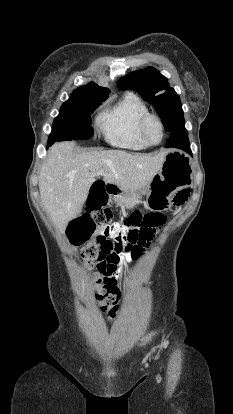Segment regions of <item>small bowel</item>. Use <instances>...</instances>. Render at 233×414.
<instances>
[{
	"instance_id": "1",
	"label": "small bowel",
	"mask_w": 233,
	"mask_h": 414,
	"mask_svg": "<svg viewBox=\"0 0 233 414\" xmlns=\"http://www.w3.org/2000/svg\"><path fill=\"white\" fill-rule=\"evenodd\" d=\"M149 232L152 237L154 229H150ZM113 235H116V232H113ZM99 255L96 264V274L101 275V278H103L104 289L110 295H114L119 291L118 272H122L123 268H130V260L133 258L129 252H121L120 250H103ZM99 309L101 310L102 308L100 307Z\"/></svg>"
}]
</instances>
